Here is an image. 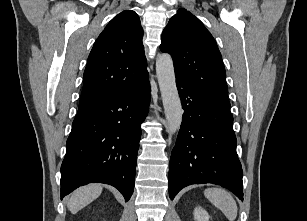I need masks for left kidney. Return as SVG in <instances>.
Here are the masks:
<instances>
[{"mask_svg": "<svg viewBox=\"0 0 307 221\" xmlns=\"http://www.w3.org/2000/svg\"><path fill=\"white\" fill-rule=\"evenodd\" d=\"M194 219L196 221H209V214L206 210H204L202 207L200 206H197L195 209H194Z\"/></svg>", "mask_w": 307, "mask_h": 221, "instance_id": "left-kidney-1", "label": "left kidney"}]
</instances>
